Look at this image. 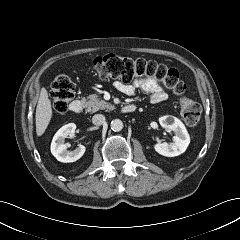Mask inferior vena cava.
<instances>
[{
	"instance_id": "602c4592",
	"label": "inferior vena cava",
	"mask_w": 240,
	"mask_h": 240,
	"mask_svg": "<svg viewBox=\"0 0 240 240\" xmlns=\"http://www.w3.org/2000/svg\"><path fill=\"white\" fill-rule=\"evenodd\" d=\"M92 122L94 125H102L105 123V116L102 114H96L93 116Z\"/></svg>"
}]
</instances>
